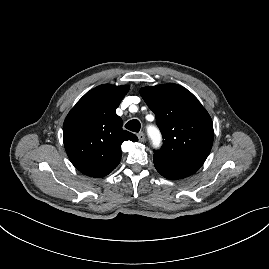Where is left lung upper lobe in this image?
Wrapping results in <instances>:
<instances>
[{"instance_id":"1","label":"left lung upper lobe","mask_w":269,"mask_h":269,"mask_svg":"<svg viewBox=\"0 0 269 269\" xmlns=\"http://www.w3.org/2000/svg\"><path fill=\"white\" fill-rule=\"evenodd\" d=\"M140 94L156 116L164 158L204 162L213 144L210 115L187 89L177 84L143 87Z\"/></svg>"}]
</instances>
